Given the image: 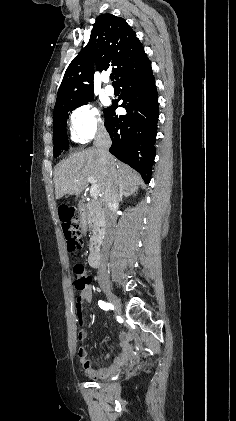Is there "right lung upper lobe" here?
I'll return each instance as SVG.
<instances>
[{"mask_svg":"<svg viewBox=\"0 0 236 421\" xmlns=\"http://www.w3.org/2000/svg\"><path fill=\"white\" fill-rule=\"evenodd\" d=\"M145 55L136 33L123 18L109 13L99 15L89 43L64 74L54 109L93 97L94 67L99 71L112 68L117 78L123 69Z\"/></svg>","mask_w":236,"mask_h":421,"instance_id":"1","label":"right lung upper lobe"}]
</instances>
